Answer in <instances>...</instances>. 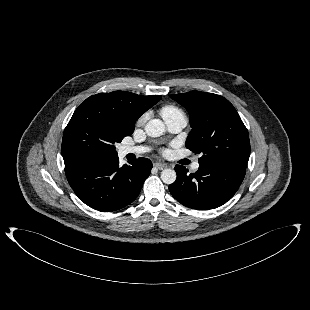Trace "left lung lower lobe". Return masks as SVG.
Masks as SVG:
<instances>
[{"label": "left lung lower lobe", "mask_w": 310, "mask_h": 310, "mask_svg": "<svg viewBox=\"0 0 310 310\" xmlns=\"http://www.w3.org/2000/svg\"><path fill=\"white\" fill-rule=\"evenodd\" d=\"M177 179L169 185L171 195L181 204L198 210H209L226 203L238 190L245 169L225 164L200 165L188 174L181 165L175 166Z\"/></svg>", "instance_id": "1"}]
</instances>
